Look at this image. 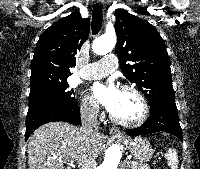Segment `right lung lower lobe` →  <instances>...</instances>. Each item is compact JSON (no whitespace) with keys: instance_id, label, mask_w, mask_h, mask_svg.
Returning <instances> with one entry per match:
<instances>
[{"instance_id":"right-lung-lower-lobe-1","label":"right lung lower lobe","mask_w":200,"mask_h":169,"mask_svg":"<svg viewBox=\"0 0 200 169\" xmlns=\"http://www.w3.org/2000/svg\"><path fill=\"white\" fill-rule=\"evenodd\" d=\"M79 106L76 104L70 108L59 106H40L28 110L26 119L25 139L27 140L33 131L39 126L54 121L70 122L77 125L81 123Z\"/></svg>"}]
</instances>
